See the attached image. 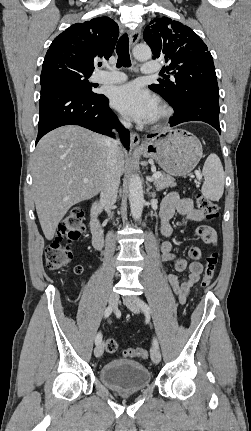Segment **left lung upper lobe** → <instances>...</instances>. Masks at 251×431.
Masks as SVG:
<instances>
[{"instance_id": "1", "label": "left lung upper lobe", "mask_w": 251, "mask_h": 431, "mask_svg": "<svg viewBox=\"0 0 251 431\" xmlns=\"http://www.w3.org/2000/svg\"><path fill=\"white\" fill-rule=\"evenodd\" d=\"M143 37L152 49V58L164 60L172 75L149 88L173 108L196 93L219 95L211 53L191 28L167 17L155 18L146 26Z\"/></svg>"}]
</instances>
